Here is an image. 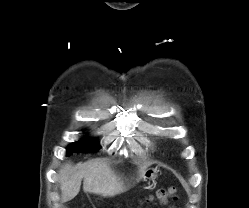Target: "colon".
I'll return each instance as SVG.
<instances>
[{
  "label": "colon",
  "mask_w": 249,
  "mask_h": 208,
  "mask_svg": "<svg viewBox=\"0 0 249 208\" xmlns=\"http://www.w3.org/2000/svg\"><path fill=\"white\" fill-rule=\"evenodd\" d=\"M168 198L176 199V189L171 187L168 189H159L155 193V195L150 196L147 201H154L157 200L160 203H166Z\"/></svg>",
  "instance_id": "1"
}]
</instances>
